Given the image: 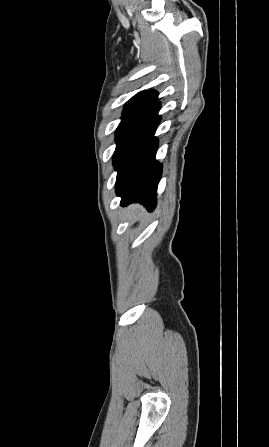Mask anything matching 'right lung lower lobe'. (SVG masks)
Masks as SVG:
<instances>
[{
	"label": "right lung lower lobe",
	"instance_id": "1",
	"mask_svg": "<svg viewBox=\"0 0 269 447\" xmlns=\"http://www.w3.org/2000/svg\"><path fill=\"white\" fill-rule=\"evenodd\" d=\"M159 102L123 118L117 131L113 164L117 170L116 193L121 205L139 202L149 211L156 206V191L162 165L155 160L158 139Z\"/></svg>",
	"mask_w": 269,
	"mask_h": 447
}]
</instances>
